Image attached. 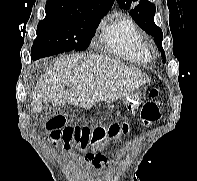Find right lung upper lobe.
Segmentation results:
<instances>
[{"mask_svg": "<svg viewBox=\"0 0 197 181\" xmlns=\"http://www.w3.org/2000/svg\"><path fill=\"white\" fill-rule=\"evenodd\" d=\"M114 0H49L47 14L64 17H80L91 14H107Z\"/></svg>", "mask_w": 197, "mask_h": 181, "instance_id": "1", "label": "right lung upper lobe"}]
</instances>
